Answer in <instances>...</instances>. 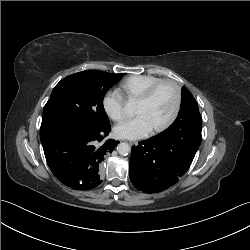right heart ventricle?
Returning a JSON list of instances; mask_svg holds the SVG:
<instances>
[{"mask_svg":"<svg viewBox=\"0 0 250 250\" xmlns=\"http://www.w3.org/2000/svg\"><path fill=\"white\" fill-rule=\"evenodd\" d=\"M160 80V77L153 75H133L120 83V90L127 99L134 100Z\"/></svg>","mask_w":250,"mask_h":250,"instance_id":"obj_1","label":"right heart ventricle"}]
</instances>
